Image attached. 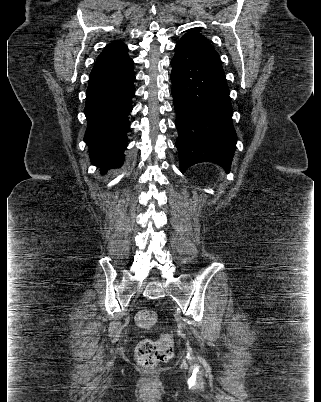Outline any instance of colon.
Returning <instances> with one entry per match:
<instances>
[{
  "instance_id": "1",
  "label": "colon",
  "mask_w": 321,
  "mask_h": 402,
  "mask_svg": "<svg viewBox=\"0 0 321 402\" xmlns=\"http://www.w3.org/2000/svg\"><path fill=\"white\" fill-rule=\"evenodd\" d=\"M158 317L154 311L141 310L135 316L137 326L150 329L157 323ZM173 339L163 335L157 340L144 339L135 348L137 362L145 368L152 369L158 363L168 361L173 354Z\"/></svg>"
}]
</instances>
